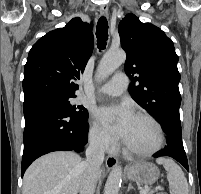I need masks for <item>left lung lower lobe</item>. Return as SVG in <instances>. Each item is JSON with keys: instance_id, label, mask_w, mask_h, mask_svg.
Listing matches in <instances>:
<instances>
[{"instance_id": "obj_1", "label": "left lung lower lobe", "mask_w": 201, "mask_h": 194, "mask_svg": "<svg viewBox=\"0 0 201 194\" xmlns=\"http://www.w3.org/2000/svg\"><path fill=\"white\" fill-rule=\"evenodd\" d=\"M158 121L167 134V146L157 152L154 157H172L188 170L187 157L182 143L180 115L166 112Z\"/></svg>"}]
</instances>
